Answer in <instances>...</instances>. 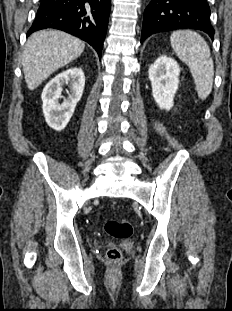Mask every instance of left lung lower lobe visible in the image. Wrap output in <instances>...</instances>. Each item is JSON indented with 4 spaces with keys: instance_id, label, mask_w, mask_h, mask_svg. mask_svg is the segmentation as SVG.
I'll list each match as a JSON object with an SVG mask.
<instances>
[{
    "instance_id": "0a47b994",
    "label": "left lung lower lobe",
    "mask_w": 232,
    "mask_h": 311,
    "mask_svg": "<svg viewBox=\"0 0 232 311\" xmlns=\"http://www.w3.org/2000/svg\"><path fill=\"white\" fill-rule=\"evenodd\" d=\"M183 28L202 30L213 39L206 0H151L144 13L141 42L154 33Z\"/></svg>"
}]
</instances>
